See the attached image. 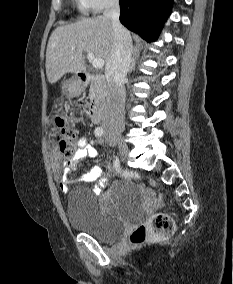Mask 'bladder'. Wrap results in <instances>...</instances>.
Returning <instances> with one entry per match:
<instances>
[{
  "mask_svg": "<svg viewBox=\"0 0 233 284\" xmlns=\"http://www.w3.org/2000/svg\"><path fill=\"white\" fill-rule=\"evenodd\" d=\"M139 200V189L127 181L118 183L109 195L103 197L104 204L113 202L124 207L136 206ZM67 217L72 228L101 242L114 241L124 228L118 218L103 214L96 198L83 188L69 192Z\"/></svg>",
  "mask_w": 233,
  "mask_h": 284,
  "instance_id": "bladder-1",
  "label": "bladder"
}]
</instances>
